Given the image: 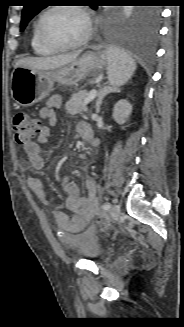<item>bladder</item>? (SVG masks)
Listing matches in <instances>:
<instances>
[{
    "label": "bladder",
    "instance_id": "1",
    "mask_svg": "<svg viewBox=\"0 0 184 327\" xmlns=\"http://www.w3.org/2000/svg\"><path fill=\"white\" fill-rule=\"evenodd\" d=\"M71 248L88 261L101 262L106 258V250L95 231H85L76 235Z\"/></svg>",
    "mask_w": 184,
    "mask_h": 327
}]
</instances>
